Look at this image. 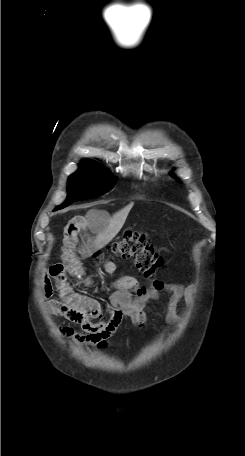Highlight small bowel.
<instances>
[{"label":"small bowel","mask_w":245,"mask_h":456,"mask_svg":"<svg viewBox=\"0 0 245 456\" xmlns=\"http://www.w3.org/2000/svg\"><path fill=\"white\" fill-rule=\"evenodd\" d=\"M100 212H93L89 217L78 216L69 221L65 229L64 264H57L50 268V275L46 278L43 293L46 298L53 292L51 280L60 292L59 300H49L47 308L51 315L61 316L81 326L83 332H77L70 327L62 328V333L71 337L77 343L88 347H97L105 350L107 340L116 332L123 318H129L140 329L146 322L145 307L160 296V289L141 287L136 278L122 275L112 284L113 293L109 304L104 307L98 300L76 293L67 283L66 271L69 270L76 277L77 284H91L86 273L78 266L74 247L78 234L88 226H100L103 218ZM106 273L113 274L117 266L110 260L103 261ZM171 293L168 302V318L177 322L176 305L180 300L186 304H193V297L197 292L194 285H170Z\"/></svg>","instance_id":"1"}]
</instances>
